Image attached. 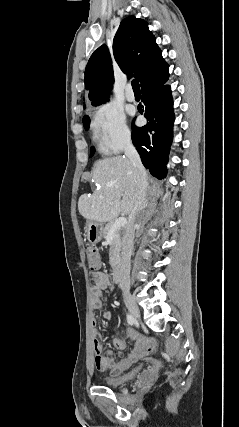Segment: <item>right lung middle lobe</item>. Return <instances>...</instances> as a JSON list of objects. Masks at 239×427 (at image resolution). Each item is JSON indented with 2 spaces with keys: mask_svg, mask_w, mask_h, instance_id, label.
<instances>
[{
  "mask_svg": "<svg viewBox=\"0 0 239 427\" xmlns=\"http://www.w3.org/2000/svg\"><path fill=\"white\" fill-rule=\"evenodd\" d=\"M83 123H84L85 128L88 129L89 128V124H90V119H89L88 116H85L83 118ZM94 152H95V148L91 147V149H90V156H93Z\"/></svg>",
  "mask_w": 239,
  "mask_h": 427,
  "instance_id": "dd1d6c3e",
  "label": "right lung middle lobe"
}]
</instances>
